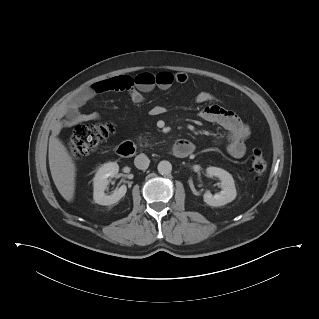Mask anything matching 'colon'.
Segmentation results:
<instances>
[{
	"label": "colon",
	"mask_w": 319,
	"mask_h": 319,
	"mask_svg": "<svg viewBox=\"0 0 319 319\" xmlns=\"http://www.w3.org/2000/svg\"><path fill=\"white\" fill-rule=\"evenodd\" d=\"M157 74L142 73L123 84V89L133 86L150 87L156 84ZM115 132L111 122L79 125L74 129L68 142V150L75 158H81L94 152L99 145ZM267 157L261 151H254L251 156V171L256 179H261L267 169Z\"/></svg>",
	"instance_id": "1"
}]
</instances>
